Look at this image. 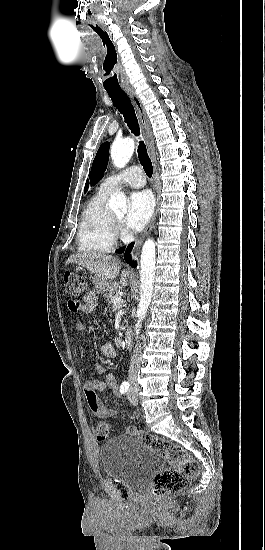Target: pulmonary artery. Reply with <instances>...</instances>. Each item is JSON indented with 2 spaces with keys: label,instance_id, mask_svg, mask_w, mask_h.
<instances>
[{
  "label": "pulmonary artery",
  "instance_id": "pulmonary-artery-1",
  "mask_svg": "<svg viewBox=\"0 0 265 550\" xmlns=\"http://www.w3.org/2000/svg\"><path fill=\"white\" fill-rule=\"evenodd\" d=\"M145 184L146 179L142 170L136 166H131L123 172L107 177L100 187L106 191L112 192L123 186L141 188Z\"/></svg>",
  "mask_w": 265,
  "mask_h": 550
}]
</instances>
